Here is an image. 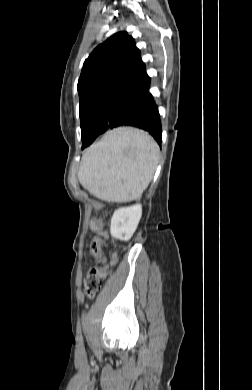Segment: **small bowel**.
Segmentation results:
<instances>
[{"label":"small bowel","instance_id":"c3829d8e","mask_svg":"<svg viewBox=\"0 0 252 390\" xmlns=\"http://www.w3.org/2000/svg\"><path fill=\"white\" fill-rule=\"evenodd\" d=\"M92 227L97 230V220L95 219L93 222H92Z\"/></svg>","mask_w":252,"mask_h":390}]
</instances>
